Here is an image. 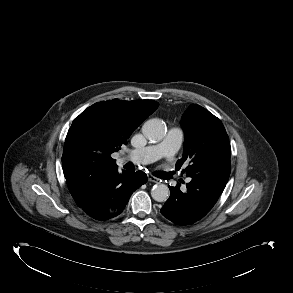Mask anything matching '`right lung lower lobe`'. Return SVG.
<instances>
[{
    "mask_svg": "<svg viewBox=\"0 0 293 293\" xmlns=\"http://www.w3.org/2000/svg\"><path fill=\"white\" fill-rule=\"evenodd\" d=\"M147 182V175L142 171L128 173L118 172V167L101 171L83 181L77 197L80 201L90 200L94 204H110L111 208L104 213H94L83 209L97 220H107L119 215L125 208L131 194Z\"/></svg>",
    "mask_w": 293,
    "mask_h": 293,
    "instance_id": "obj_1",
    "label": "right lung lower lobe"
}]
</instances>
